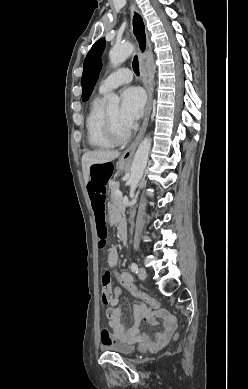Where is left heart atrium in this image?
<instances>
[{
    "instance_id": "left-heart-atrium-1",
    "label": "left heart atrium",
    "mask_w": 248,
    "mask_h": 389,
    "mask_svg": "<svg viewBox=\"0 0 248 389\" xmlns=\"http://www.w3.org/2000/svg\"><path fill=\"white\" fill-rule=\"evenodd\" d=\"M145 96L140 88L128 87L121 94L119 119L122 125L130 130L142 116Z\"/></svg>"
}]
</instances>
